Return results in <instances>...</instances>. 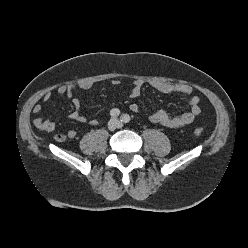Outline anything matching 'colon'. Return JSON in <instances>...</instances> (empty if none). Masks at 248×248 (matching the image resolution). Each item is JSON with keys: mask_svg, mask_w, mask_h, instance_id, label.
<instances>
[{"mask_svg": "<svg viewBox=\"0 0 248 248\" xmlns=\"http://www.w3.org/2000/svg\"><path fill=\"white\" fill-rule=\"evenodd\" d=\"M194 134L196 136H201L203 134V129L202 128H199V127L195 128L194 129Z\"/></svg>", "mask_w": 248, "mask_h": 248, "instance_id": "1", "label": "colon"}]
</instances>
